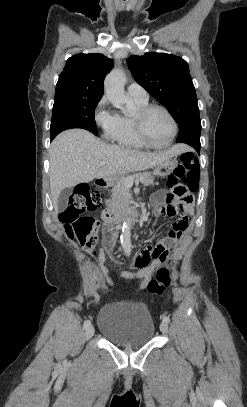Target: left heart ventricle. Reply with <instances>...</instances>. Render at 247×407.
Segmentation results:
<instances>
[{
    "label": "left heart ventricle",
    "instance_id": "1",
    "mask_svg": "<svg viewBox=\"0 0 247 407\" xmlns=\"http://www.w3.org/2000/svg\"><path fill=\"white\" fill-rule=\"evenodd\" d=\"M172 131L170 119L160 110L151 111L144 120V133L152 144H165L170 139Z\"/></svg>",
    "mask_w": 247,
    "mask_h": 407
}]
</instances>
